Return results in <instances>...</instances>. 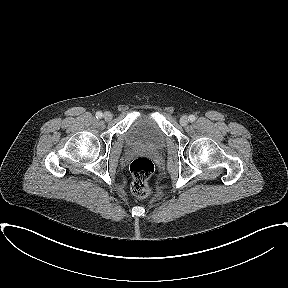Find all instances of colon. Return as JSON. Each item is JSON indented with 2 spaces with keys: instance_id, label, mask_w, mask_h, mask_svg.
Here are the masks:
<instances>
[{
  "instance_id": "1",
  "label": "colon",
  "mask_w": 288,
  "mask_h": 288,
  "mask_svg": "<svg viewBox=\"0 0 288 288\" xmlns=\"http://www.w3.org/2000/svg\"><path fill=\"white\" fill-rule=\"evenodd\" d=\"M130 171L133 177L132 193L138 198L147 197L151 192L149 178L154 172L153 162L145 157L136 158L130 164Z\"/></svg>"
}]
</instances>
